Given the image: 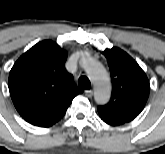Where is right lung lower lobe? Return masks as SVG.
I'll list each match as a JSON object with an SVG mask.
<instances>
[{
    "label": "right lung lower lobe",
    "instance_id": "right-lung-lower-lobe-1",
    "mask_svg": "<svg viewBox=\"0 0 165 154\" xmlns=\"http://www.w3.org/2000/svg\"><path fill=\"white\" fill-rule=\"evenodd\" d=\"M73 100V99H72ZM72 100H67L58 106L44 111L33 118L26 120L27 122L40 127H49L59 121L65 114Z\"/></svg>",
    "mask_w": 165,
    "mask_h": 154
}]
</instances>
